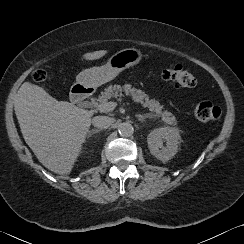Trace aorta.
Here are the masks:
<instances>
[{
    "instance_id": "1",
    "label": "aorta",
    "mask_w": 244,
    "mask_h": 244,
    "mask_svg": "<svg viewBox=\"0 0 244 244\" xmlns=\"http://www.w3.org/2000/svg\"><path fill=\"white\" fill-rule=\"evenodd\" d=\"M134 128L130 123L123 122L118 126V132L121 136H130L133 134Z\"/></svg>"
}]
</instances>
